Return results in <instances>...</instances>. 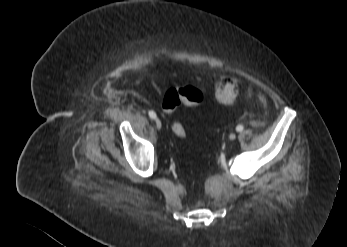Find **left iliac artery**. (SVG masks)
Listing matches in <instances>:
<instances>
[{"instance_id": "44dca946", "label": "left iliac artery", "mask_w": 347, "mask_h": 247, "mask_svg": "<svg viewBox=\"0 0 347 247\" xmlns=\"http://www.w3.org/2000/svg\"><path fill=\"white\" fill-rule=\"evenodd\" d=\"M236 131H237V132L243 131V126H242V125H238V126L236 127Z\"/></svg>"}]
</instances>
